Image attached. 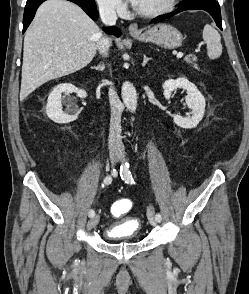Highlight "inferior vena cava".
Masks as SVG:
<instances>
[{
    "instance_id": "inferior-vena-cava-1",
    "label": "inferior vena cava",
    "mask_w": 249,
    "mask_h": 294,
    "mask_svg": "<svg viewBox=\"0 0 249 294\" xmlns=\"http://www.w3.org/2000/svg\"><path fill=\"white\" fill-rule=\"evenodd\" d=\"M99 12L101 21L106 26H112L116 24L117 15L114 5L108 2H103L99 4ZM111 45V41L107 37H103L98 43V51L102 56L108 55V50ZM109 103L111 108V119H110V129H109V147L119 148L122 146L121 137V114L122 105L117 96L114 88H110L109 92Z\"/></svg>"
}]
</instances>
